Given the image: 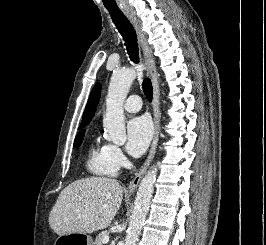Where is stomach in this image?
<instances>
[{"label":"stomach","mask_w":266,"mask_h":245,"mask_svg":"<svg viewBox=\"0 0 266 245\" xmlns=\"http://www.w3.org/2000/svg\"><path fill=\"white\" fill-rule=\"evenodd\" d=\"M59 242H72V245H94L87 233H59Z\"/></svg>","instance_id":"obj_1"}]
</instances>
